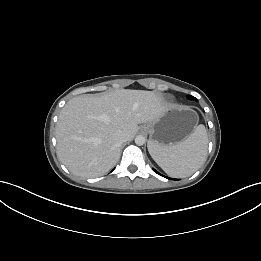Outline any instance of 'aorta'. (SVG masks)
Masks as SVG:
<instances>
[{"instance_id":"1","label":"aorta","mask_w":261,"mask_h":261,"mask_svg":"<svg viewBox=\"0 0 261 261\" xmlns=\"http://www.w3.org/2000/svg\"><path fill=\"white\" fill-rule=\"evenodd\" d=\"M145 141H146V139H145V137L142 136V135H138V136H136V138H135V143H136L138 146L143 145V144L145 143Z\"/></svg>"}]
</instances>
